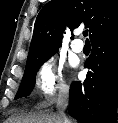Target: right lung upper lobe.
<instances>
[{
	"instance_id": "obj_1",
	"label": "right lung upper lobe",
	"mask_w": 118,
	"mask_h": 123,
	"mask_svg": "<svg viewBox=\"0 0 118 123\" xmlns=\"http://www.w3.org/2000/svg\"><path fill=\"white\" fill-rule=\"evenodd\" d=\"M89 28L91 42L118 29V0H51L39 12L26 69L59 49L65 27Z\"/></svg>"
}]
</instances>
